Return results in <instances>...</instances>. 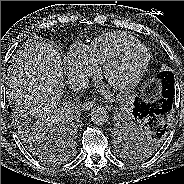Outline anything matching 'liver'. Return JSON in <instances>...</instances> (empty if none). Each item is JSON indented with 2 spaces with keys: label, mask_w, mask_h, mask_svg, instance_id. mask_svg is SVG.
I'll list each match as a JSON object with an SVG mask.
<instances>
[{
  "label": "liver",
  "mask_w": 184,
  "mask_h": 184,
  "mask_svg": "<svg viewBox=\"0 0 184 184\" xmlns=\"http://www.w3.org/2000/svg\"><path fill=\"white\" fill-rule=\"evenodd\" d=\"M59 53L43 39L25 43L8 69L7 96L17 108L45 116L59 109L64 92Z\"/></svg>",
  "instance_id": "obj_1"
}]
</instances>
